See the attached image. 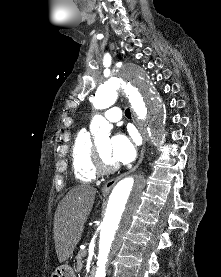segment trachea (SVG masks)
<instances>
[{
    "instance_id": "3493384b",
    "label": "trachea",
    "mask_w": 221,
    "mask_h": 277,
    "mask_svg": "<svg viewBox=\"0 0 221 277\" xmlns=\"http://www.w3.org/2000/svg\"><path fill=\"white\" fill-rule=\"evenodd\" d=\"M125 115H126L127 118H131L130 109H127V110L125 111Z\"/></svg>"
}]
</instances>
